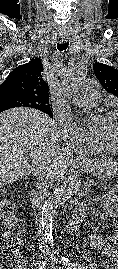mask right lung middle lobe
I'll use <instances>...</instances> for the list:
<instances>
[{
    "mask_svg": "<svg viewBox=\"0 0 118 269\" xmlns=\"http://www.w3.org/2000/svg\"><path fill=\"white\" fill-rule=\"evenodd\" d=\"M13 107H31L47 113L52 112L49 103H42L20 94H6L0 100V112Z\"/></svg>",
    "mask_w": 118,
    "mask_h": 269,
    "instance_id": "1",
    "label": "right lung middle lobe"
}]
</instances>
